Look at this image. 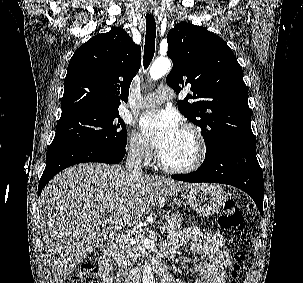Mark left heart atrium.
I'll return each mask as SVG.
<instances>
[{
    "label": "left heart atrium",
    "instance_id": "39dd6f15",
    "mask_svg": "<svg viewBox=\"0 0 303 283\" xmlns=\"http://www.w3.org/2000/svg\"><path fill=\"white\" fill-rule=\"evenodd\" d=\"M139 127L142 134L161 152L169 147L181 130L176 114L160 109L144 114Z\"/></svg>",
    "mask_w": 303,
    "mask_h": 283
}]
</instances>
